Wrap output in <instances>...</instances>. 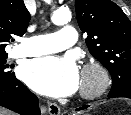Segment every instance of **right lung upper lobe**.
<instances>
[{"label":"right lung upper lobe","instance_id":"cb5924a9","mask_svg":"<svg viewBox=\"0 0 131 115\" xmlns=\"http://www.w3.org/2000/svg\"><path fill=\"white\" fill-rule=\"evenodd\" d=\"M30 21L23 0H0V55L13 36H22Z\"/></svg>","mask_w":131,"mask_h":115}]
</instances>
